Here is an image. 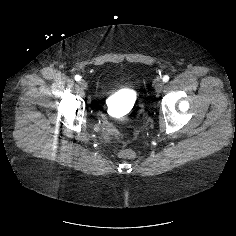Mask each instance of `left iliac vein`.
I'll list each match as a JSON object with an SVG mask.
<instances>
[{
	"label": "left iliac vein",
	"instance_id": "obj_1",
	"mask_svg": "<svg viewBox=\"0 0 236 236\" xmlns=\"http://www.w3.org/2000/svg\"><path fill=\"white\" fill-rule=\"evenodd\" d=\"M164 88V82L162 80H158L156 83H155V90L156 92H161Z\"/></svg>",
	"mask_w": 236,
	"mask_h": 236
}]
</instances>
